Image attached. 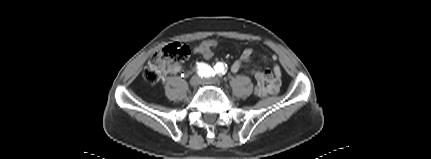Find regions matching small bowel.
Segmentation results:
<instances>
[{"mask_svg":"<svg viewBox=\"0 0 431 159\" xmlns=\"http://www.w3.org/2000/svg\"><path fill=\"white\" fill-rule=\"evenodd\" d=\"M200 46H206L211 48L217 47V41L215 40H206L201 42L200 44L193 47V52L197 53V48ZM252 54L253 51L251 48H246L239 59L235 60L233 64L231 65V70L234 73L239 72L243 66L247 63H250L252 60ZM202 56L206 59H210L212 56ZM181 69L180 65H174L172 66L168 71L170 73H177ZM250 73L256 80V84H258L259 88L261 89L260 96L259 97H265L270 94H275L279 91L281 86V76L282 71L281 68L278 65H275L272 69L264 70V71H257V70H251Z\"/></svg>","mask_w":431,"mask_h":159,"instance_id":"small-bowel-1","label":"small bowel"}]
</instances>
